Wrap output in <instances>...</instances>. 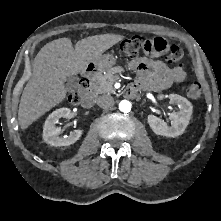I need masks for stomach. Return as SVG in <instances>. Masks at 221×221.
Here are the masks:
<instances>
[{"label":"stomach","mask_w":221,"mask_h":221,"mask_svg":"<svg viewBox=\"0 0 221 221\" xmlns=\"http://www.w3.org/2000/svg\"><path fill=\"white\" fill-rule=\"evenodd\" d=\"M116 63V59L111 54H104L101 55L94 61V65L97 67L98 70L104 71L108 70Z\"/></svg>","instance_id":"stomach-1"}]
</instances>
